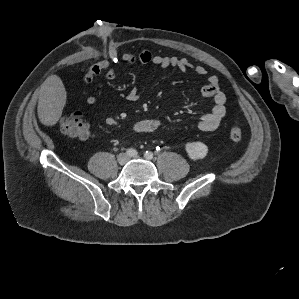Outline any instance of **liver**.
Instances as JSON below:
<instances>
[{"label":"liver","instance_id":"liver-1","mask_svg":"<svg viewBox=\"0 0 299 299\" xmlns=\"http://www.w3.org/2000/svg\"><path fill=\"white\" fill-rule=\"evenodd\" d=\"M67 93L61 78L51 75L43 82L38 101V117L46 126L55 125L66 104Z\"/></svg>","mask_w":299,"mask_h":299}]
</instances>
